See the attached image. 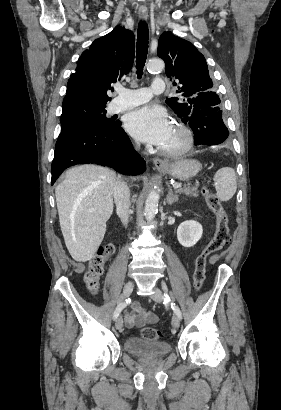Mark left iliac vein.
I'll list each match as a JSON object with an SVG mask.
<instances>
[{
    "mask_svg": "<svg viewBox=\"0 0 281 410\" xmlns=\"http://www.w3.org/2000/svg\"><path fill=\"white\" fill-rule=\"evenodd\" d=\"M151 298L157 303H161L163 301L162 293L158 289L154 290V293L151 295ZM172 326L176 329L180 326V318L177 315H174L172 317Z\"/></svg>",
    "mask_w": 281,
    "mask_h": 410,
    "instance_id": "left-iliac-vein-1",
    "label": "left iliac vein"
}]
</instances>
